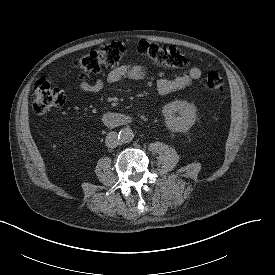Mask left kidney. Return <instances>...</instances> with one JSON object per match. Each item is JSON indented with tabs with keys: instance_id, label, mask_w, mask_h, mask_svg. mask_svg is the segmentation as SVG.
I'll return each mask as SVG.
<instances>
[{
	"instance_id": "obj_1",
	"label": "left kidney",
	"mask_w": 275,
	"mask_h": 275,
	"mask_svg": "<svg viewBox=\"0 0 275 275\" xmlns=\"http://www.w3.org/2000/svg\"><path fill=\"white\" fill-rule=\"evenodd\" d=\"M179 114L176 116L175 113ZM167 127L175 132L187 131L196 120L195 107L185 101H173L163 107Z\"/></svg>"
}]
</instances>
